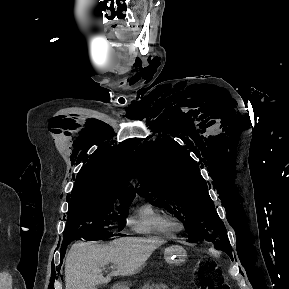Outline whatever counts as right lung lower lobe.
<instances>
[{"label": "right lung lower lobe", "instance_id": "obj_1", "mask_svg": "<svg viewBox=\"0 0 289 289\" xmlns=\"http://www.w3.org/2000/svg\"><path fill=\"white\" fill-rule=\"evenodd\" d=\"M66 247H67V245H63V246L61 247V256H62V257H63L64 254H65Z\"/></svg>", "mask_w": 289, "mask_h": 289}]
</instances>
